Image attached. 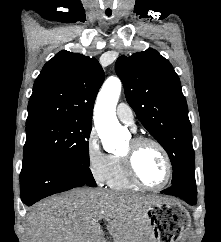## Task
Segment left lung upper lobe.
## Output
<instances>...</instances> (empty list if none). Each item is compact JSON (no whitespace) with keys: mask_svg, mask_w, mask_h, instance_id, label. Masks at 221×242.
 Segmentation results:
<instances>
[{"mask_svg":"<svg viewBox=\"0 0 221 242\" xmlns=\"http://www.w3.org/2000/svg\"><path fill=\"white\" fill-rule=\"evenodd\" d=\"M115 69L129 105L149 133L168 153L172 184L194 175L192 130L178 75L156 50L120 56Z\"/></svg>","mask_w":221,"mask_h":242,"instance_id":"obj_1","label":"left lung upper lobe"}]
</instances>
